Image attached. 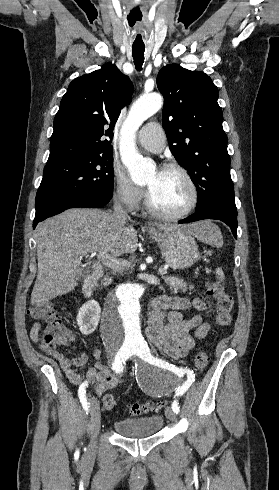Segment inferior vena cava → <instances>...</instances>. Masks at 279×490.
<instances>
[{
	"instance_id": "602c4592",
	"label": "inferior vena cava",
	"mask_w": 279,
	"mask_h": 490,
	"mask_svg": "<svg viewBox=\"0 0 279 490\" xmlns=\"http://www.w3.org/2000/svg\"><path fill=\"white\" fill-rule=\"evenodd\" d=\"M113 218H116V220H121L123 224H126V220H128L129 216L125 210L122 208V204L120 202V198H117L114 202L113 206Z\"/></svg>"
}]
</instances>
